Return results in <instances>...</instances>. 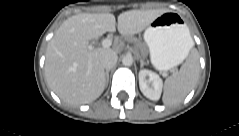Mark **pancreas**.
Masks as SVG:
<instances>
[{
	"mask_svg": "<svg viewBox=\"0 0 239 136\" xmlns=\"http://www.w3.org/2000/svg\"><path fill=\"white\" fill-rule=\"evenodd\" d=\"M127 40L130 41V42H138V40H136L134 38H131V37H129Z\"/></svg>",
	"mask_w": 239,
	"mask_h": 136,
	"instance_id": "cf45deb5",
	"label": "pancreas"
}]
</instances>
